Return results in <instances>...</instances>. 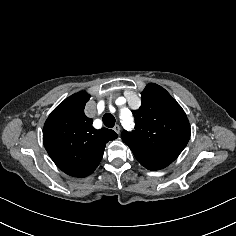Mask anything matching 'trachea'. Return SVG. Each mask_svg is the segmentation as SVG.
<instances>
[{
  "instance_id": "trachea-1",
  "label": "trachea",
  "mask_w": 236,
  "mask_h": 236,
  "mask_svg": "<svg viewBox=\"0 0 236 236\" xmlns=\"http://www.w3.org/2000/svg\"><path fill=\"white\" fill-rule=\"evenodd\" d=\"M102 121L108 128H112L115 125V117L111 113L104 114Z\"/></svg>"
}]
</instances>
